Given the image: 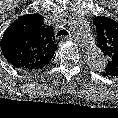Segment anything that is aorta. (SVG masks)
Instances as JSON below:
<instances>
[{"label":"aorta","instance_id":"obj_1","mask_svg":"<svg viewBox=\"0 0 118 118\" xmlns=\"http://www.w3.org/2000/svg\"><path fill=\"white\" fill-rule=\"evenodd\" d=\"M69 27L72 32L82 41L93 43L94 36L89 24L82 18L72 16L68 20ZM86 62L90 68L97 71H103L106 67V57L98 48H91L86 53Z\"/></svg>","mask_w":118,"mask_h":118}]
</instances>
